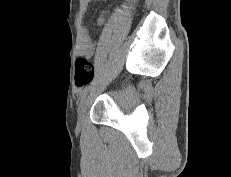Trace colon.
Masks as SVG:
<instances>
[{
    "instance_id": "obj_1",
    "label": "colon",
    "mask_w": 231,
    "mask_h": 177,
    "mask_svg": "<svg viewBox=\"0 0 231 177\" xmlns=\"http://www.w3.org/2000/svg\"><path fill=\"white\" fill-rule=\"evenodd\" d=\"M94 66L85 57L79 56L75 63V83L78 87H82L90 83L94 78Z\"/></svg>"
}]
</instances>
